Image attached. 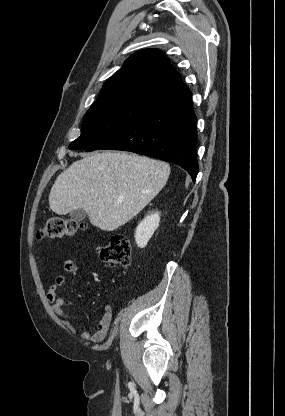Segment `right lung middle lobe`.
<instances>
[{
  "label": "right lung middle lobe",
  "mask_w": 285,
  "mask_h": 416,
  "mask_svg": "<svg viewBox=\"0 0 285 416\" xmlns=\"http://www.w3.org/2000/svg\"><path fill=\"white\" fill-rule=\"evenodd\" d=\"M161 108L154 102L133 95L95 103L86 113L80 137L69 145V149L92 146Z\"/></svg>",
  "instance_id": "1"
}]
</instances>
